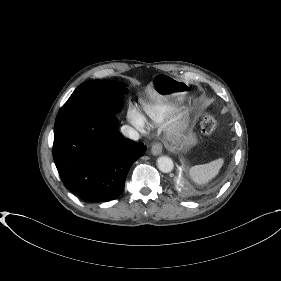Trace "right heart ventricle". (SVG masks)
<instances>
[{"label":"right heart ventricle","mask_w":281,"mask_h":281,"mask_svg":"<svg viewBox=\"0 0 281 281\" xmlns=\"http://www.w3.org/2000/svg\"><path fill=\"white\" fill-rule=\"evenodd\" d=\"M175 109V104L166 100L143 101L142 109L138 115L142 124H147L149 122L161 123L166 120Z\"/></svg>","instance_id":"right-heart-ventricle-1"}]
</instances>
